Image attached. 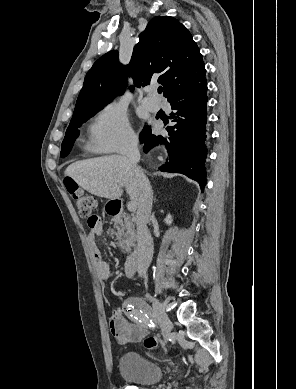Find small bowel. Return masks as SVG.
Segmentation results:
<instances>
[{"label":"small bowel","mask_w":296,"mask_h":389,"mask_svg":"<svg viewBox=\"0 0 296 389\" xmlns=\"http://www.w3.org/2000/svg\"><path fill=\"white\" fill-rule=\"evenodd\" d=\"M88 244L96 263L98 274L102 280L110 277L108 264L103 260L101 252L96 244V238L101 235L103 227L100 217L96 216L94 224H89ZM135 281V275L128 276ZM110 328L119 343L140 342L148 333L146 327L139 323H130L121 310H115L110 319Z\"/></svg>","instance_id":"small-bowel-1"}]
</instances>
